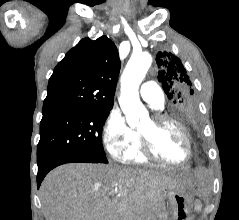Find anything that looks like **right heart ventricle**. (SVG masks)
Segmentation results:
<instances>
[{
	"instance_id": "right-heart-ventricle-1",
	"label": "right heart ventricle",
	"mask_w": 239,
	"mask_h": 220,
	"mask_svg": "<svg viewBox=\"0 0 239 220\" xmlns=\"http://www.w3.org/2000/svg\"><path fill=\"white\" fill-rule=\"evenodd\" d=\"M122 159L125 162L133 164L148 163V158L142 153L139 142L134 147L126 151Z\"/></svg>"
}]
</instances>
